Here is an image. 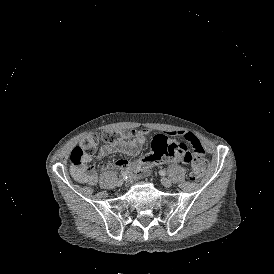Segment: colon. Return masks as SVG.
Wrapping results in <instances>:
<instances>
[{"label":"colon","instance_id":"5ec220e1","mask_svg":"<svg viewBox=\"0 0 274 274\" xmlns=\"http://www.w3.org/2000/svg\"><path fill=\"white\" fill-rule=\"evenodd\" d=\"M132 135L133 131L128 132ZM119 135L115 130H106L100 134H93L86 137L82 141V147L76 146L70 156L69 160L72 164L78 165L81 163L84 155L91 154L95 145L102 139L110 144L116 143L119 140ZM207 157H197L195 162L190 166L189 180L193 183L198 182L201 173H204L208 169Z\"/></svg>","mask_w":274,"mask_h":274}]
</instances>
